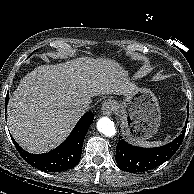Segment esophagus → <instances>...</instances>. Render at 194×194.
<instances>
[{
	"label": "esophagus",
	"instance_id": "1",
	"mask_svg": "<svg viewBox=\"0 0 194 194\" xmlns=\"http://www.w3.org/2000/svg\"><path fill=\"white\" fill-rule=\"evenodd\" d=\"M114 103L112 101H105L101 107V112L103 115H111L114 111Z\"/></svg>",
	"mask_w": 194,
	"mask_h": 194
}]
</instances>
